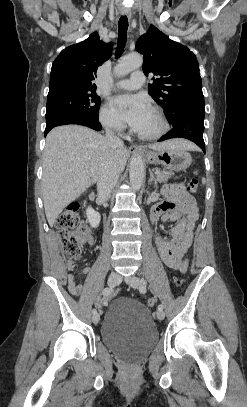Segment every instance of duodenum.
Returning a JSON list of instances; mask_svg holds the SVG:
<instances>
[{
    "instance_id": "1",
    "label": "duodenum",
    "mask_w": 247,
    "mask_h": 407,
    "mask_svg": "<svg viewBox=\"0 0 247 407\" xmlns=\"http://www.w3.org/2000/svg\"><path fill=\"white\" fill-rule=\"evenodd\" d=\"M98 198V194L97 193H93L91 195V200H96Z\"/></svg>"
}]
</instances>
